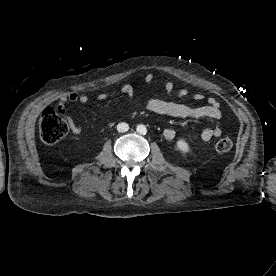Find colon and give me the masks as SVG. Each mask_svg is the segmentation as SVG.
<instances>
[{"label":"colon","instance_id":"colon-1","mask_svg":"<svg viewBox=\"0 0 276 276\" xmlns=\"http://www.w3.org/2000/svg\"><path fill=\"white\" fill-rule=\"evenodd\" d=\"M69 131L68 122L52 107L46 108L39 120V133L46 144H54L63 139ZM233 142L229 137H223L216 143V150L225 153L231 150Z\"/></svg>","mask_w":276,"mask_h":276}]
</instances>
